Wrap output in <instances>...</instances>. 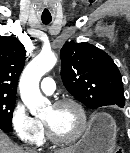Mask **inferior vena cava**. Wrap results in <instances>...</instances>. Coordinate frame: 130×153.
I'll use <instances>...</instances> for the list:
<instances>
[{
	"instance_id": "inferior-vena-cava-1",
	"label": "inferior vena cava",
	"mask_w": 130,
	"mask_h": 153,
	"mask_svg": "<svg viewBox=\"0 0 130 153\" xmlns=\"http://www.w3.org/2000/svg\"><path fill=\"white\" fill-rule=\"evenodd\" d=\"M25 152H26V153H36L35 150L29 149V148H26V151H25Z\"/></svg>"
}]
</instances>
